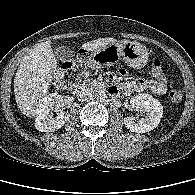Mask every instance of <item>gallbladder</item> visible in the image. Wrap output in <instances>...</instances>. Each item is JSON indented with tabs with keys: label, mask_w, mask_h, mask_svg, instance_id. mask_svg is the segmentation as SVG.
<instances>
[{
	"label": "gallbladder",
	"mask_w": 195,
	"mask_h": 195,
	"mask_svg": "<svg viewBox=\"0 0 195 195\" xmlns=\"http://www.w3.org/2000/svg\"><path fill=\"white\" fill-rule=\"evenodd\" d=\"M54 53L58 60L60 61H68L73 58V52L69 47L66 46H58L55 48Z\"/></svg>",
	"instance_id": "1"
}]
</instances>
